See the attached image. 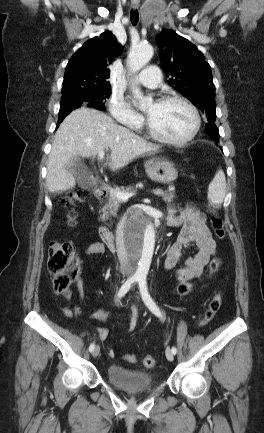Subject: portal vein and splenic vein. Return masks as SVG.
Returning a JSON list of instances; mask_svg holds the SVG:
<instances>
[{
  "label": "portal vein and splenic vein",
  "mask_w": 264,
  "mask_h": 433,
  "mask_svg": "<svg viewBox=\"0 0 264 433\" xmlns=\"http://www.w3.org/2000/svg\"><path fill=\"white\" fill-rule=\"evenodd\" d=\"M104 155H105L104 151H99V153H98L99 159H103ZM110 192L114 193L115 196L117 197V199H119L121 201H127L130 197L135 195V193H133V192H130V193L129 192H121V191H116L113 189H110ZM161 193H162V190H160V189L154 190L155 195H160Z\"/></svg>",
  "instance_id": "1"
}]
</instances>
